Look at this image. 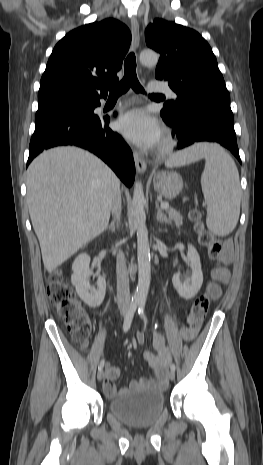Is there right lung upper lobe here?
Returning <instances> with one entry per match:
<instances>
[{"instance_id":"right-lung-upper-lobe-1","label":"right lung upper lobe","mask_w":263,"mask_h":465,"mask_svg":"<svg viewBox=\"0 0 263 465\" xmlns=\"http://www.w3.org/2000/svg\"><path fill=\"white\" fill-rule=\"evenodd\" d=\"M131 42L129 29L113 18L70 31L54 47L41 78L38 101L72 96L106 97Z\"/></svg>"}]
</instances>
